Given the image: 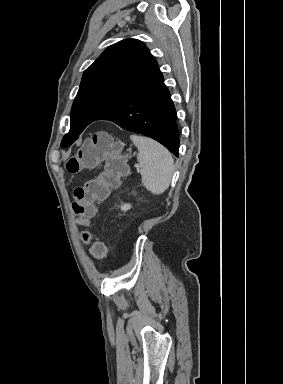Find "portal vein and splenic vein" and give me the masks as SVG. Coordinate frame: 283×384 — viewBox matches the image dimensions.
I'll return each instance as SVG.
<instances>
[{
	"label": "portal vein and splenic vein",
	"instance_id": "obj_1",
	"mask_svg": "<svg viewBox=\"0 0 283 384\" xmlns=\"http://www.w3.org/2000/svg\"><path fill=\"white\" fill-rule=\"evenodd\" d=\"M137 170H139L140 166H136Z\"/></svg>",
	"mask_w": 283,
	"mask_h": 384
}]
</instances>
